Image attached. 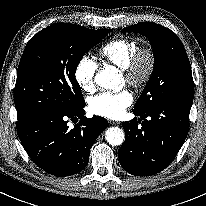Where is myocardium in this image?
Wrapping results in <instances>:
<instances>
[{"mask_svg": "<svg viewBox=\"0 0 206 206\" xmlns=\"http://www.w3.org/2000/svg\"><path fill=\"white\" fill-rule=\"evenodd\" d=\"M156 66V54L148 45L139 46L130 57L123 73L128 84L140 88L149 82Z\"/></svg>", "mask_w": 206, "mask_h": 206, "instance_id": "obj_1", "label": "myocardium"}]
</instances>
